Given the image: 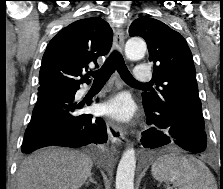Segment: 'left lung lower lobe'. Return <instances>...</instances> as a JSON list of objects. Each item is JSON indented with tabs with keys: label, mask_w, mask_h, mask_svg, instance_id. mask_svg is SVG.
<instances>
[{
	"label": "left lung lower lobe",
	"mask_w": 223,
	"mask_h": 189,
	"mask_svg": "<svg viewBox=\"0 0 223 189\" xmlns=\"http://www.w3.org/2000/svg\"><path fill=\"white\" fill-rule=\"evenodd\" d=\"M144 106L147 124L152 127L142 133L141 143L148 149L158 148L169 143L192 153L204 152L207 146V136L203 129L188 125L170 124L164 115Z\"/></svg>",
	"instance_id": "1"
}]
</instances>
